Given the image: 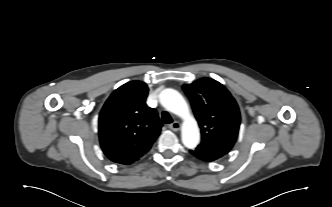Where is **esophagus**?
<instances>
[{
	"instance_id": "34e87169",
	"label": "esophagus",
	"mask_w": 332,
	"mask_h": 207,
	"mask_svg": "<svg viewBox=\"0 0 332 207\" xmlns=\"http://www.w3.org/2000/svg\"><path fill=\"white\" fill-rule=\"evenodd\" d=\"M169 128L173 131H178L180 129V123L175 121L169 125Z\"/></svg>"
}]
</instances>
